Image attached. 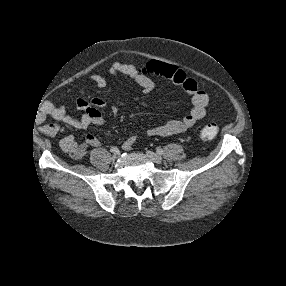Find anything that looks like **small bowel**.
I'll return each instance as SVG.
<instances>
[{"label":"small bowel","instance_id":"c3829d8e","mask_svg":"<svg viewBox=\"0 0 286 286\" xmlns=\"http://www.w3.org/2000/svg\"><path fill=\"white\" fill-rule=\"evenodd\" d=\"M148 69L158 70L156 75H160L170 81L181 85L191 100V109L182 119H171L166 123L151 128L147 131L148 136H167L183 132L191 128L196 122L201 120L206 113V107L209 102L208 95L202 91L196 80L190 77L183 69L166 63L151 62L146 65ZM145 67L114 63L109 73L112 75H124L131 78L145 94L153 92L155 82L146 75ZM155 74V73H153ZM91 80L98 88H105L107 85L106 76L103 74H93ZM104 106V101L100 98H94L91 101L85 99L77 100V107L83 111L79 118L70 116L65 106L53 105L49 108V114L55 120L77 129H87L90 125H100L105 121L100 108ZM114 114L118 113L119 108L116 105L111 107ZM63 131V127L56 124H47L43 126V132L49 135H55ZM136 143V137L130 136L123 144L125 150H131ZM101 141L94 135H87L84 143L78 142L73 135H66L60 141L61 150L68 154L72 159H81L87 152L88 147L99 146Z\"/></svg>","mask_w":286,"mask_h":286}]
</instances>
